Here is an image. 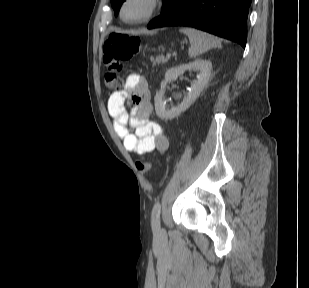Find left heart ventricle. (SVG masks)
Wrapping results in <instances>:
<instances>
[{
	"mask_svg": "<svg viewBox=\"0 0 309 288\" xmlns=\"http://www.w3.org/2000/svg\"><path fill=\"white\" fill-rule=\"evenodd\" d=\"M147 0H131L125 8V18L128 20H136L144 16L148 10Z\"/></svg>",
	"mask_w": 309,
	"mask_h": 288,
	"instance_id": "left-heart-ventricle-1",
	"label": "left heart ventricle"
}]
</instances>
